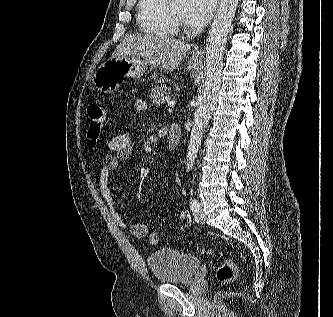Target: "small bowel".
<instances>
[{"mask_svg": "<svg viewBox=\"0 0 333 317\" xmlns=\"http://www.w3.org/2000/svg\"><path fill=\"white\" fill-rule=\"evenodd\" d=\"M147 109L144 100L138 99L132 106V115L136 116ZM107 147L110 153L105 155L99 169V190L105 200L115 223L122 229L128 230L136 238L146 237L149 232L147 223L129 224L116 208L112 192L110 190V176L123 162H126L133 152V141L131 131L125 130L112 137Z\"/></svg>", "mask_w": 333, "mask_h": 317, "instance_id": "1", "label": "small bowel"}]
</instances>
